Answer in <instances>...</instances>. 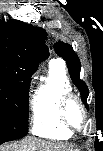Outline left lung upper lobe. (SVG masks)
Wrapping results in <instances>:
<instances>
[{
    "instance_id": "1",
    "label": "left lung upper lobe",
    "mask_w": 103,
    "mask_h": 151,
    "mask_svg": "<svg viewBox=\"0 0 103 151\" xmlns=\"http://www.w3.org/2000/svg\"><path fill=\"white\" fill-rule=\"evenodd\" d=\"M54 48H55V52L66 60L71 79L75 84V86L81 92V98L83 103L86 104L89 91L85 82L82 81L79 77L80 61L77 54L72 50V47L69 44L61 41L55 43ZM86 107L88 108L87 104Z\"/></svg>"
}]
</instances>
